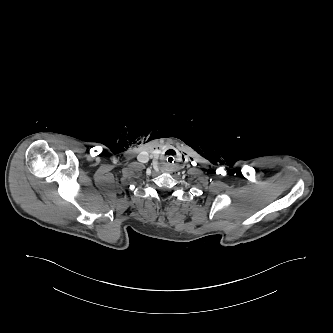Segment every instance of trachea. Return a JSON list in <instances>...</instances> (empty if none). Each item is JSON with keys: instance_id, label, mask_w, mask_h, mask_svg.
Listing matches in <instances>:
<instances>
[{"instance_id": "1", "label": "trachea", "mask_w": 333, "mask_h": 333, "mask_svg": "<svg viewBox=\"0 0 333 333\" xmlns=\"http://www.w3.org/2000/svg\"><path fill=\"white\" fill-rule=\"evenodd\" d=\"M177 161H178V156L174 152H168L164 156V162L167 165H174L175 163H177Z\"/></svg>"}]
</instances>
